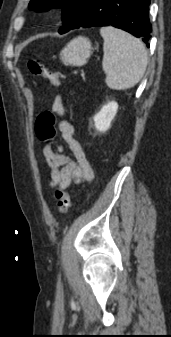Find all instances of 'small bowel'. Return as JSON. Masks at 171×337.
I'll use <instances>...</instances> for the list:
<instances>
[{
	"label": "small bowel",
	"instance_id": "c3829d8e",
	"mask_svg": "<svg viewBox=\"0 0 171 337\" xmlns=\"http://www.w3.org/2000/svg\"><path fill=\"white\" fill-rule=\"evenodd\" d=\"M52 110L60 117L67 113L60 96L55 98ZM58 129L64 140V145L53 149L51 144H46L43 148V156L51 169L49 186L52 189L57 187L67 189L72 184L92 180L94 178L93 169L81 144L74 136L73 125L67 120H61L58 124ZM66 148L72 152V157L65 153Z\"/></svg>",
	"mask_w": 171,
	"mask_h": 337
}]
</instances>
